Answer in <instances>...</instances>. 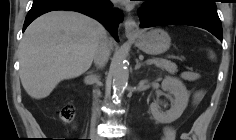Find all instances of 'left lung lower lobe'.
Instances as JSON below:
<instances>
[{
    "label": "left lung lower lobe",
    "mask_w": 236,
    "mask_h": 140,
    "mask_svg": "<svg viewBox=\"0 0 236 140\" xmlns=\"http://www.w3.org/2000/svg\"><path fill=\"white\" fill-rule=\"evenodd\" d=\"M140 27L189 25L206 29L222 41V25L215 7L179 2L169 5L162 0L146 2L138 11Z\"/></svg>",
    "instance_id": "obj_1"
}]
</instances>
